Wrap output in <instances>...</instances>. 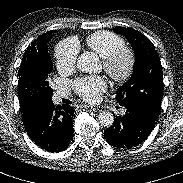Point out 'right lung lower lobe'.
<instances>
[{"instance_id": "98d812e1", "label": "right lung lower lobe", "mask_w": 183, "mask_h": 183, "mask_svg": "<svg viewBox=\"0 0 183 183\" xmlns=\"http://www.w3.org/2000/svg\"><path fill=\"white\" fill-rule=\"evenodd\" d=\"M20 109L25 130L37 146L58 153L70 145L75 118L70 105L55 107L51 98L31 102Z\"/></svg>"}]
</instances>
